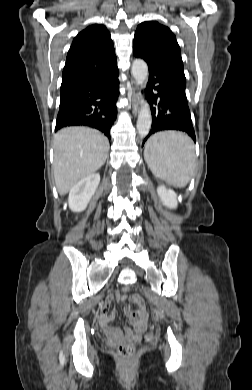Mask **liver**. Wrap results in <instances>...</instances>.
<instances>
[{"instance_id": "6515ba94", "label": "liver", "mask_w": 252, "mask_h": 390, "mask_svg": "<svg viewBox=\"0 0 252 390\" xmlns=\"http://www.w3.org/2000/svg\"><path fill=\"white\" fill-rule=\"evenodd\" d=\"M53 172L60 195L104 165L109 141L98 130L68 127L54 136Z\"/></svg>"}]
</instances>
